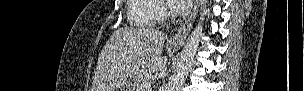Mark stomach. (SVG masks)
<instances>
[{
    "mask_svg": "<svg viewBox=\"0 0 304 91\" xmlns=\"http://www.w3.org/2000/svg\"><path fill=\"white\" fill-rule=\"evenodd\" d=\"M173 48H175V47H173ZM117 91H134V88L129 83H125V84L121 85Z\"/></svg>",
    "mask_w": 304,
    "mask_h": 91,
    "instance_id": "stomach-1",
    "label": "stomach"
}]
</instances>
